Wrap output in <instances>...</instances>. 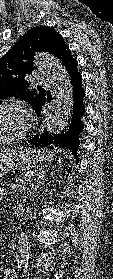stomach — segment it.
I'll use <instances>...</instances> for the list:
<instances>
[{"label":"stomach","mask_w":113,"mask_h":279,"mask_svg":"<svg viewBox=\"0 0 113 279\" xmlns=\"http://www.w3.org/2000/svg\"><path fill=\"white\" fill-rule=\"evenodd\" d=\"M52 160L44 149L11 147L0 152V177L12 171H29L42 168Z\"/></svg>","instance_id":"stomach-1"}]
</instances>
